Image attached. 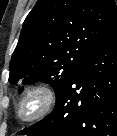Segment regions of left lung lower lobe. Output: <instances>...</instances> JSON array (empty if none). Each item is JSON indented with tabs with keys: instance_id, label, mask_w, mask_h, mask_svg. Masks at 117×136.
<instances>
[{
	"instance_id": "obj_1",
	"label": "left lung lower lobe",
	"mask_w": 117,
	"mask_h": 136,
	"mask_svg": "<svg viewBox=\"0 0 117 136\" xmlns=\"http://www.w3.org/2000/svg\"><path fill=\"white\" fill-rule=\"evenodd\" d=\"M54 110L19 134L117 136V24L77 67Z\"/></svg>"
}]
</instances>
